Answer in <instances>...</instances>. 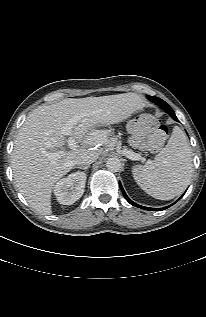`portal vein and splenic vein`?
I'll use <instances>...</instances> for the list:
<instances>
[{
	"label": "portal vein and splenic vein",
	"instance_id": "obj_1",
	"mask_svg": "<svg viewBox=\"0 0 206 317\" xmlns=\"http://www.w3.org/2000/svg\"><path fill=\"white\" fill-rule=\"evenodd\" d=\"M77 122V119H71L66 125L61 127V134L65 136H69L67 143L70 149H75L77 147V141L71 136L73 125ZM126 156L131 160H140L142 157L134 152L126 151ZM64 155V151H57L54 153L48 154V158L50 160H56L57 158H61Z\"/></svg>",
	"mask_w": 206,
	"mask_h": 317
}]
</instances>
